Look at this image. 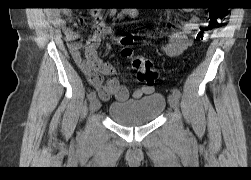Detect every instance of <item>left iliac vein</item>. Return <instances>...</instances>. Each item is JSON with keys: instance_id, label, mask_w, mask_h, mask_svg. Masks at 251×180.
<instances>
[{"instance_id": "1", "label": "left iliac vein", "mask_w": 251, "mask_h": 180, "mask_svg": "<svg viewBox=\"0 0 251 180\" xmlns=\"http://www.w3.org/2000/svg\"><path fill=\"white\" fill-rule=\"evenodd\" d=\"M168 101H169L170 106L174 109V111L178 113L179 111L178 98L175 97L174 95H169Z\"/></svg>"}]
</instances>
